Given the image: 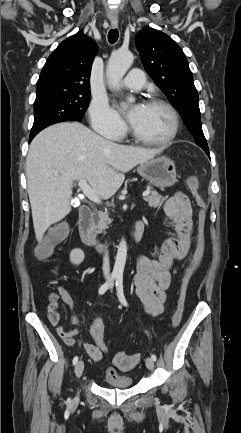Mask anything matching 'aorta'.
Segmentation results:
<instances>
[{
	"mask_svg": "<svg viewBox=\"0 0 241 433\" xmlns=\"http://www.w3.org/2000/svg\"><path fill=\"white\" fill-rule=\"evenodd\" d=\"M134 60L133 54L130 51H116L112 53L107 65V79L112 88H118L119 82L124 77ZM129 101L133 102L134 98L129 97ZM127 257V243L123 238L118 246L113 274L122 276Z\"/></svg>",
	"mask_w": 241,
	"mask_h": 433,
	"instance_id": "aorta-1",
	"label": "aorta"
}]
</instances>
